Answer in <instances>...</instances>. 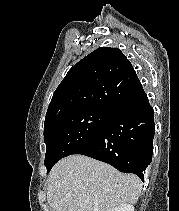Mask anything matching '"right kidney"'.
Segmentation results:
<instances>
[{"mask_svg":"<svg viewBox=\"0 0 179 211\" xmlns=\"http://www.w3.org/2000/svg\"><path fill=\"white\" fill-rule=\"evenodd\" d=\"M112 211H134V206L132 204H122L115 207Z\"/></svg>","mask_w":179,"mask_h":211,"instance_id":"right-kidney-1","label":"right kidney"}]
</instances>
